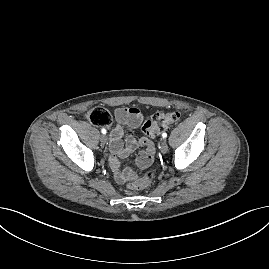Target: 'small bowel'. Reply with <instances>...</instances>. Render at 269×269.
<instances>
[{
  "label": "small bowel",
  "mask_w": 269,
  "mask_h": 269,
  "mask_svg": "<svg viewBox=\"0 0 269 269\" xmlns=\"http://www.w3.org/2000/svg\"><path fill=\"white\" fill-rule=\"evenodd\" d=\"M116 125L110 133V167L118 183H126L135 178V173L130 169H122L121 161L128 157L137 148H144L136 159L139 168H146L151 165L154 158L155 148L153 142L145 137L136 139L133 136L124 138V126L136 129L142 121L143 115L135 107H119L115 110Z\"/></svg>",
  "instance_id": "obj_1"
}]
</instances>
